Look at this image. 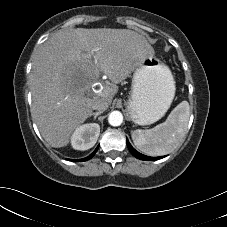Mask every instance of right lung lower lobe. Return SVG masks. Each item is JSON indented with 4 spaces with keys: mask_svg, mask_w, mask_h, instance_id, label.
Here are the masks:
<instances>
[{
    "mask_svg": "<svg viewBox=\"0 0 227 227\" xmlns=\"http://www.w3.org/2000/svg\"><path fill=\"white\" fill-rule=\"evenodd\" d=\"M97 150H98V147L88 157L83 158V159H79V160H72V161H78V162H80V161H87V160L91 159L95 155V153L97 152ZM68 160H71V159H68Z\"/></svg>",
    "mask_w": 227,
    "mask_h": 227,
    "instance_id": "98d812e1",
    "label": "right lung lower lobe"
}]
</instances>
